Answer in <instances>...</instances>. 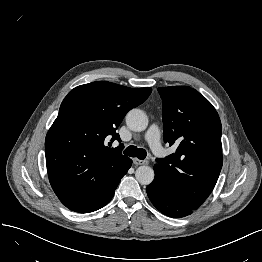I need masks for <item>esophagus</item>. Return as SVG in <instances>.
Here are the masks:
<instances>
[{
    "label": "esophagus",
    "mask_w": 262,
    "mask_h": 262,
    "mask_svg": "<svg viewBox=\"0 0 262 262\" xmlns=\"http://www.w3.org/2000/svg\"><path fill=\"white\" fill-rule=\"evenodd\" d=\"M133 163L136 164V165H145V164L148 163V161L134 158V159H133Z\"/></svg>",
    "instance_id": "obj_1"
}]
</instances>
